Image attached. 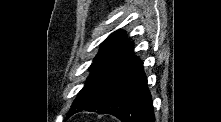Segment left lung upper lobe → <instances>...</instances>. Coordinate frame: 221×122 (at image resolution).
Instances as JSON below:
<instances>
[{"label": "left lung upper lobe", "mask_w": 221, "mask_h": 122, "mask_svg": "<svg viewBox=\"0 0 221 122\" xmlns=\"http://www.w3.org/2000/svg\"><path fill=\"white\" fill-rule=\"evenodd\" d=\"M128 44L123 31L112 33L103 42L98 55L94 58L90 67L92 68V74L87 78L85 86L73 102L72 109L68 115L87 102L98 90L123 56Z\"/></svg>", "instance_id": "left-lung-upper-lobe-1"}]
</instances>
